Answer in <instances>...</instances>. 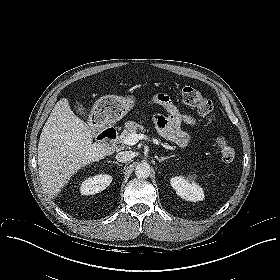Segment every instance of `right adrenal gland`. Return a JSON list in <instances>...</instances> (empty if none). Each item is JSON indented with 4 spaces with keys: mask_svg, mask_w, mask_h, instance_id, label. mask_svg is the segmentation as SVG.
<instances>
[{
    "mask_svg": "<svg viewBox=\"0 0 280 280\" xmlns=\"http://www.w3.org/2000/svg\"><path fill=\"white\" fill-rule=\"evenodd\" d=\"M113 163L117 164L118 166H122V164H120V163L117 162V161H113Z\"/></svg>",
    "mask_w": 280,
    "mask_h": 280,
    "instance_id": "2a0ac1e0",
    "label": "right adrenal gland"
}]
</instances>
